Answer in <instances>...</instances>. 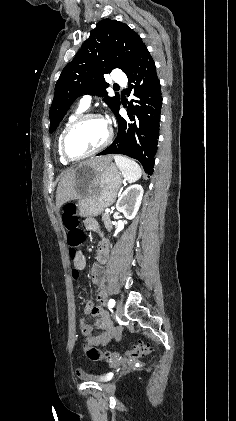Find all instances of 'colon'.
<instances>
[{
    "label": "colon",
    "instance_id": "5ec220e1",
    "mask_svg": "<svg viewBox=\"0 0 236 421\" xmlns=\"http://www.w3.org/2000/svg\"><path fill=\"white\" fill-rule=\"evenodd\" d=\"M63 226L67 230V243L70 248V256L73 260L79 261L80 247L84 242V232L79 227V219L77 216V208L74 203H67L63 207L61 214ZM78 270L74 271V276L77 278ZM152 346L148 343H138L135 347L125 353L130 359H136L147 356L151 353ZM85 353L90 360L98 361L109 358L107 351H102L92 346L85 347Z\"/></svg>",
    "mask_w": 236,
    "mask_h": 421
}]
</instances>
